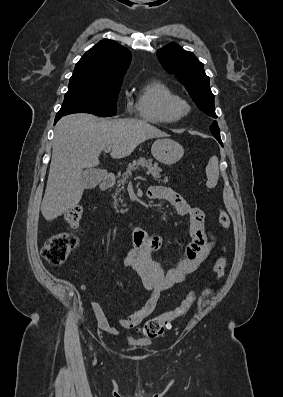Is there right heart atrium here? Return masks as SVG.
Wrapping results in <instances>:
<instances>
[{"label":"right heart atrium","instance_id":"d8ad5b80","mask_svg":"<svg viewBox=\"0 0 283 397\" xmlns=\"http://www.w3.org/2000/svg\"><path fill=\"white\" fill-rule=\"evenodd\" d=\"M135 111V106L133 105V103L126 98L125 101V112L128 114H132Z\"/></svg>","mask_w":283,"mask_h":397}]
</instances>
